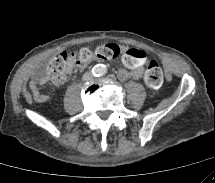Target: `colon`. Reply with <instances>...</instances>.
<instances>
[{
  "label": "colon",
  "mask_w": 215,
  "mask_h": 183,
  "mask_svg": "<svg viewBox=\"0 0 215 183\" xmlns=\"http://www.w3.org/2000/svg\"><path fill=\"white\" fill-rule=\"evenodd\" d=\"M121 52L122 48L117 44H101L95 50L82 48L72 54L62 51L51 59L48 65V72L54 77L62 78L66 75L71 63L85 66L95 60L108 62L117 58ZM144 78L147 85L151 88L156 89L161 86L163 74L156 58H148Z\"/></svg>",
  "instance_id": "obj_1"
}]
</instances>
